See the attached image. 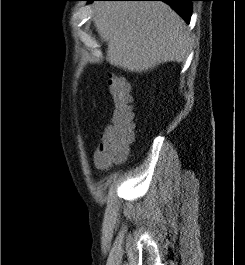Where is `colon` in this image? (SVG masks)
Instances as JSON below:
<instances>
[{
  "label": "colon",
  "mask_w": 245,
  "mask_h": 265,
  "mask_svg": "<svg viewBox=\"0 0 245 265\" xmlns=\"http://www.w3.org/2000/svg\"><path fill=\"white\" fill-rule=\"evenodd\" d=\"M108 92L113 101L111 119L95 152L98 162L105 167L124 161L134 140L132 97L127 81L111 74Z\"/></svg>",
  "instance_id": "5ec220e1"
}]
</instances>
